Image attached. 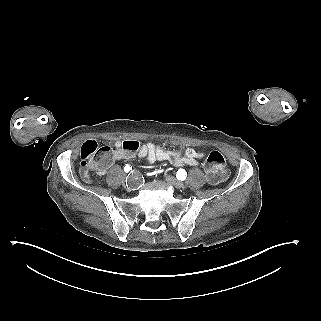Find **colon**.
Wrapping results in <instances>:
<instances>
[{
  "label": "colon",
  "instance_id": "5ec220e1",
  "mask_svg": "<svg viewBox=\"0 0 321 321\" xmlns=\"http://www.w3.org/2000/svg\"><path fill=\"white\" fill-rule=\"evenodd\" d=\"M142 148L140 142L128 140L122 143V149L130 154L138 152ZM80 174L84 178H91L92 172L104 162L107 157L100 151H85L81 154ZM204 169L207 180L211 184H218L228 176L226 160L219 151H210L205 160Z\"/></svg>",
  "mask_w": 321,
  "mask_h": 321
}]
</instances>
